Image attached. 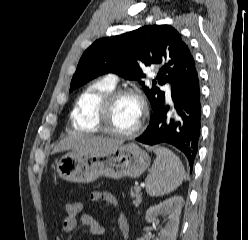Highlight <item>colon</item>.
<instances>
[{
    "label": "colon",
    "instance_id": "colon-1",
    "mask_svg": "<svg viewBox=\"0 0 248 240\" xmlns=\"http://www.w3.org/2000/svg\"><path fill=\"white\" fill-rule=\"evenodd\" d=\"M83 209V204L80 201H69L65 204L64 210L66 216L73 217L77 216Z\"/></svg>",
    "mask_w": 248,
    "mask_h": 240
}]
</instances>
